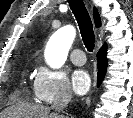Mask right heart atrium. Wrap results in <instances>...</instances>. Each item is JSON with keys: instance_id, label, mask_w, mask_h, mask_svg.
<instances>
[{"instance_id": "obj_1", "label": "right heart atrium", "mask_w": 133, "mask_h": 118, "mask_svg": "<svg viewBox=\"0 0 133 118\" xmlns=\"http://www.w3.org/2000/svg\"><path fill=\"white\" fill-rule=\"evenodd\" d=\"M33 89L37 100L45 104L71 97L66 75L62 71L45 66L38 67L34 76Z\"/></svg>"}]
</instances>
